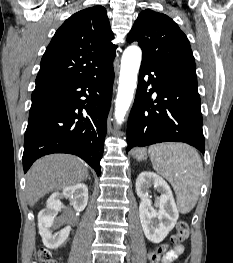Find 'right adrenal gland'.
Listing matches in <instances>:
<instances>
[{
    "label": "right adrenal gland",
    "mask_w": 233,
    "mask_h": 263,
    "mask_svg": "<svg viewBox=\"0 0 233 263\" xmlns=\"http://www.w3.org/2000/svg\"><path fill=\"white\" fill-rule=\"evenodd\" d=\"M89 180L91 179L90 176L87 177Z\"/></svg>",
    "instance_id": "obj_1"
}]
</instances>
